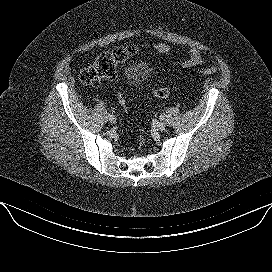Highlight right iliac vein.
Segmentation results:
<instances>
[{"label": "right iliac vein", "instance_id": "obj_1", "mask_svg": "<svg viewBox=\"0 0 272 272\" xmlns=\"http://www.w3.org/2000/svg\"><path fill=\"white\" fill-rule=\"evenodd\" d=\"M108 120H109L110 123H115L116 122V118L114 116L109 117Z\"/></svg>", "mask_w": 272, "mask_h": 272}]
</instances>
